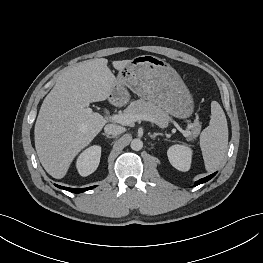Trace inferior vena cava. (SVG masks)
I'll list each match as a JSON object with an SVG mask.
<instances>
[{"label":"inferior vena cava","instance_id":"602c4592","mask_svg":"<svg viewBox=\"0 0 263 263\" xmlns=\"http://www.w3.org/2000/svg\"><path fill=\"white\" fill-rule=\"evenodd\" d=\"M105 133L109 135H119L125 131V128L116 124H107L104 128Z\"/></svg>","mask_w":263,"mask_h":263}]
</instances>
